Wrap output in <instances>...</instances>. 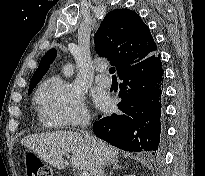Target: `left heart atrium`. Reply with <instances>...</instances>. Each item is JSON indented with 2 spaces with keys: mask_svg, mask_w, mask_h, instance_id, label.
<instances>
[{
  "mask_svg": "<svg viewBox=\"0 0 205 176\" xmlns=\"http://www.w3.org/2000/svg\"><path fill=\"white\" fill-rule=\"evenodd\" d=\"M97 101H98L99 106H101V107H103V108H105V107H107V106L109 105V101H108L107 98L99 97V98L97 99Z\"/></svg>",
  "mask_w": 205,
  "mask_h": 176,
  "instance_id": "obj_1",
  "label": "left heart atrium"
}]
</instances>
